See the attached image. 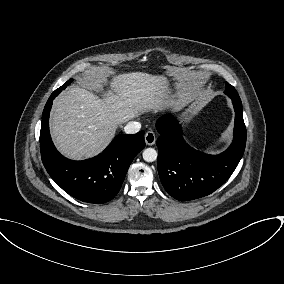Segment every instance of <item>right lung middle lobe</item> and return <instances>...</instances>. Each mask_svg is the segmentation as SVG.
Wrapping results in <instances>:
<instances>
[{
	"label": "right lung middle lobe",
	"instance_id": "dd1d6c3e",
	"mask_svg": "<svg viewBox=\"0 0 284 284\" xmlns=\"http://www.w3.org/2000/svg\"><path fill=\"white\" fill-rule=\"evenodd\" d=\"M73 80H68L64 85H62L60 88L56 89L53 93L59 94L63 89H65Z\"/></svg>",
	"mask_w": 284,
	"mask_h": 284
}]
</instances>
